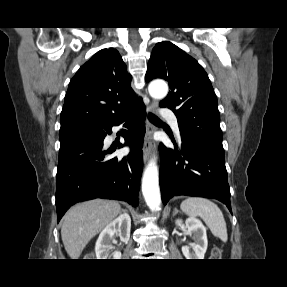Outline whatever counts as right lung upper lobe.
Returning <instances> with one entry per match:
<instances>
[{
  "label": "right lung upper lobe",
  "mask_w": 287,
  "mask_h": 287,
  "mask_svg": "<svg viewBox=\"0 0 287 287\" xmlns=\"http://www.w3.org/2000/svg\"><path fill=\"white\" fill-rule=\"evenodd\" d=\"M141 103L131 88V76L119 52L105 48L82 65L70 81L61 126L74 123L99 126Z\"/></svg>",
  "instance_id": "obj_1"
}]
</instances>
